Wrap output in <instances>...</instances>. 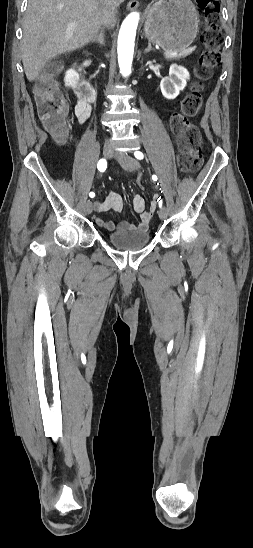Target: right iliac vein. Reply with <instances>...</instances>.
<instances>
[{"label": "right iliac vein", "mask_w": 253, "mask_h": 548, "mask_svg": "<svg viewBox=\"0 0 253 548\" xmlns=\"http://www.w3.org/2000/svg\"><path fill=\"white\" fill-rule=\"evenodd\" d=\"M113 153V146L111 144H105L103 148L104 158H110ZM93 205L91 201H88L85 205L86 213L90 214L92 212Z\"/></svg>", "instance_id": "obj_1"}]
</instances>
